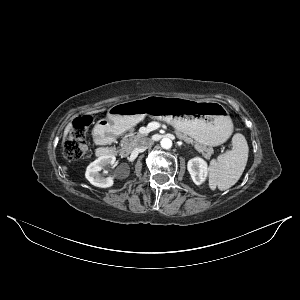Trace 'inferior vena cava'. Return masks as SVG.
I'll return each mask as SVG.
<instances>
[{
    "instance_id": "1",
    "label": "inferior vena cava",
    "mask_w": 300,
    "mask_h": 300,
    "mask_svg": "<svg viewBox=\"0 0 300 300\" xmlns=\"http://www.w3.org/2000/svg\"><path fill=\"white\" fill-rule=\"evenodd\" d=\"M153 142L150 138H142L135 150L137 152H144L147 148L152 146Z\"/></svg>"
}]
</instances>
